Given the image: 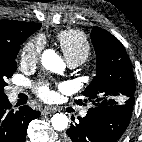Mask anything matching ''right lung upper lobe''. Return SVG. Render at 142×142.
<instances>
[{
  "label": "right lung upper lobe",
  "instance_id": "cb5924a9",
  "mask_svg": "<svg viewBox=\"0 0 142 142\" xmlns=\"http://www.w3.org/2000/svg\"><path fill=\"white\" fill-rule=\"evenodd\" d=\"M40 27L41 24L36 23L0 20V46L11 43L18 38H28Z\"/></svg>",
  "mask_w": 142,
  "mask_h": 142
}]
</instances>
